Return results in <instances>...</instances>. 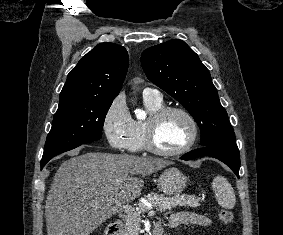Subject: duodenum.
Instances as JSON below:
<instances>
[{
    "label": "duodenum",
    "mask_w": 283,
    "mask_h": 235,
    "mask_svg": "<svg viewBox=\"0 0 283 235\" xmlns=\"http://www.w3.org/2000/svg\"><path fill=\"white\" fill-rule=\"evenodd\" d=\"M121 229H122L121 221H115L108 226L106 230V235H120ZM162 232H163L162 225L158 223L154 227L152 235H162Z\"/></svg>",
    "instance_id": "obj_1"
}]
</instances>
